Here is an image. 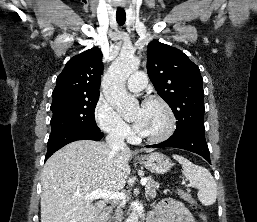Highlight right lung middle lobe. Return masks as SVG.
<instances>
[{
	"instance_id": "1",
	"label": "right lung middle lobe",
	"mask_w": 257,
	"mask_h": 222,
	"mask_svg": "<svg viewBox=\"0 0 257 222\" xmlns=\"http://www.w3.org/2000/svg\"><path fill=\"white\" fill-rule=\"evenodd\" d=\"M99 100V95L82 99L58 100L51 104L53 113L51 134L55 137L68 131L99 132L94 110Z\"/></svg>"
}]
</instances>
